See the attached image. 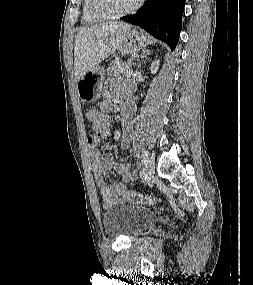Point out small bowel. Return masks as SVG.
Segmentation results:
<instances>
[{"label":"small bowel","instance_id":"1","mask_svg":"<svg viewBox=\"0 0 253 285\" xmlns=\"http://www.w3.org/2000/svg\"><path fill=\"white\" fill-rule=\"evenodd\" d=\"M132 88L123 84L120 80L112 78L105 82L103 95L106 100L100 103V110L96 111V117L92 121L94 133L88 137V146L91 149V160L94 173V180L102 197L104 208L108 209L114 205L122 204L127 201L126 193L128 191L124 183H131L135 180V175L130 172L128 164H117L115 171L121 176L124 183L108 184L103 175L112 166V155L102 154L98 150V145L102 139L108 137L110 133L109 113L113 109L110 98L117 97L122 110V138L121 149L127 150L132 139V113L133 104L129 99Z\"/></svg>","mask_w":253,"mask_h":285}]
</instances>
